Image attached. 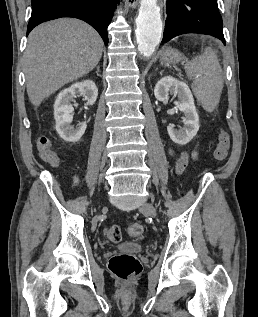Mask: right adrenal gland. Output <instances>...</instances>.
<instances>
[{
	"label": "right adrenal gland",
	"instance_id": "obj_1",
	"mask_svg": "<svg viewBox=\"0 0 258 317\" xmlns=\"http://www.w3.org/2000/svg\"><path fill=\"white\" fill-rule=\"evenodd\" d=\"M96 68H97L96 72H97L98 76H101V74H99V72H100V66H99V64H98V66H96Z\"/></svg>",
	"mask_w": 258,
	"mask_h": 317
}]
</instances>
